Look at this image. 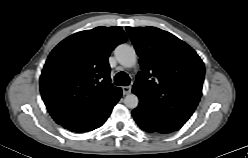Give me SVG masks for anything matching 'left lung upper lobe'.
Returning <instances> with one entry per match:
<instances>
[{"instance_id": "5c2ea615", "label": "left lung upper lobe", "mask_w": 248, "mask_h": 158, "mask_svg": "<svg viewBox=\"0 0 248 158\" xmlns=\"http://www.w3.org/2000/svg\"><path fill=\"white\" fill-rule=\"evenodd\" d=\"M140 57L132 92L139 106L174 129L193 114L202 95L204 63L185 42L155 27H126Z\"/></svg>"}]
</instances>
